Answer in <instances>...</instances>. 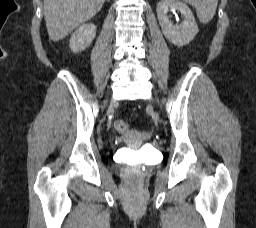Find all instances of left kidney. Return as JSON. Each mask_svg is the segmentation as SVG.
I'll use <instances>...</instances> for the list:
<instances>
[{
  "label": "left kidney",
  "mask_w": 256,
  "mask_h": 228,
  "mask_svg": "<svg viewBox=\"0 0 256 228\" xmlns=\"http://www.w3.org/2000/svg\"><path fill=\"white\" fill-rule=\"evenodd\" d=\"M179 11L184 20L180 25H173L169 20V11ZM157 18L166 39L177 46L188 44L198 33V26L190 8L178 0H162L157 4Z\"/></svg>",
  "instance_id": "5707ae66"
}]
</instances>
